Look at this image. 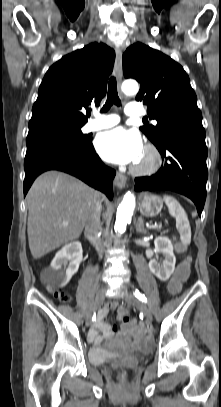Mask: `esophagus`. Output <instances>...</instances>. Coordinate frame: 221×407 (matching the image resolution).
Instances as JSON below:
<instances>
[{
    "instance_id": "esophagus-1",
    "label": "esophagus",
    "mask_w": 221,
    "mask_h": 407,
    "mask_svg": "<svg viewBox=\"0 0 221 407\" xmlns=\"http://www.w3.org/2000/svg\"><path fill=\"white\" fill-rule=\"evenodd\" d=\"M116 76L117 81L120 86L123 76V68H122V50L117 47L116 48ZM127 182V177L119 172L116 173L114 184L116 187L122 189L125 187Z\"/></svg>"
}]
</instances>
